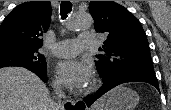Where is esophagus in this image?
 <instances>
[{
    "label": "esophagus",
    "instance_id": "34e87169",
    "mask_svg": "<svg viewBox=\"0 0 171 110\" xmlns=\"http://www.w3.org/2000/svg\"><path fill=\"white\" fill-rule=\"evenodd\" d=\"M66 110H75L76 109V102L72 100H67L65 102Z\"/></svg>",
    "mask_w": 171,
    "mask_h": 110
}]
</instances>
